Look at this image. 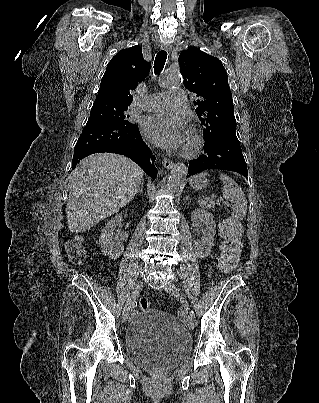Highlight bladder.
I'll list each match as a JSON object with an SVG mask.
<instances>
[{"label":"bladder","mask_w":319,"mask_h":403,"mask_svg":"<svg viewBox=\"0 0 319 403\" xmlns=\"http://www.w3.org/2000/svg\"><path fill=\"white\" fill-rule=\"evenodd\" d=\"M128 358L151 371L170 370L185 361L192 342L179 321L161 310L136 315L125 333Z\"/></svg>","instance_id":"obj_1"}]
</instances>
